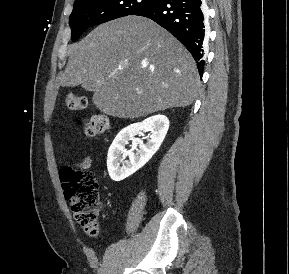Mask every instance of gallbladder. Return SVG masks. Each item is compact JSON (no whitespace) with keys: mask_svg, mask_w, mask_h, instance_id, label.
I'll use <instances>...</instances> for the list:
<instances>
[{"mask_svg":"<svg viewBox=\"0 0 289 274\" xmlns=\"http://www.w3.org/2000/svg\"><path fill=\"white\" fill-rule=\"evenodd\" d=\"M83 88L86 90H92L93 89V83H86L83 85Z\"/></svg>","mask_w":289,"mask_h":274,"instance_id":"bac80fb5","label":"gallbladder"}]
</instances>
